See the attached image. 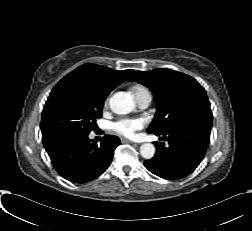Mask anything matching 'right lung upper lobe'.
Segmentation results:
<instances>
[{
    "instance_id": "1",
    "label": "right lung upper lobe",
    "mask_w": 252,
    "mask_h": 231,
    "mask_svg": "<svg viewBox=\"0 0 252 231\" xmlns=\"http://www.w3.org/2000/svg\"><path fill=\"white\" fill-rule=\"evenodd\" d=\"M132 70L115 71L106 66L84 64L67 74L58 83L78 81L89 90L108 95L116 86L125 81Z\"/></svg>"
}]
</instances>
